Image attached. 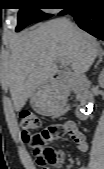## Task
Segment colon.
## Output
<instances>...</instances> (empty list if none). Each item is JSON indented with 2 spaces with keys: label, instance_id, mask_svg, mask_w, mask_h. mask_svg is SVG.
Masks as SVG:
<instances>
[{
  "label": "colon",
  "instance_id": "colon-1",
  "mask_svg": "<svg viewBox=\"0 0 104 169\" xmlns=\"http://www.w3.org/2000/svg\"><path fill=\"white\" fill-rule=\"evenodd\" d=\"M19 126L24 141L33 149L38 169H54L59 165L58 152L49 146L55 139L67 134L63 123L53 124L39 132L40 119L32 112H24L19 117Z\"/></svg>",
  "mask_w": 104,
  "mask_h": 169
}]
</instances>
